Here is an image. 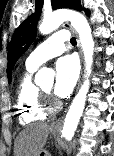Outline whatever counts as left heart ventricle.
<instances>
[{
  "label": "left heart ventricle",
  "instance_id": "left-heart-ventricle-1",
  "mask_svg": "<svg viewBox=\"0 0 114 156\" xmlns=\"http://www.w3.org/2000/svg\"><path fill=\"white\" fill-rule=\"evenodd\" d=\"M42 88H43L44 90H46V91H50V90L52 89V83H49V84L43 86Z\"/></svg>",
  "mask_w": 114,
  "mask_h": 156
}]
</instances>
